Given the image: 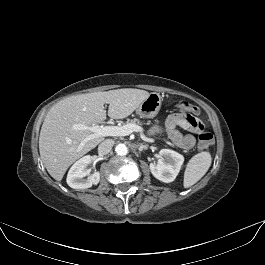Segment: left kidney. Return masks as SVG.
<instances>
[{"label":"left kidney","instance_id":"5707ae66","mask_svg":"<svg viewBox=\"0 0 265 265\" xmlns=\"http://www.w3.org/2000/svg\"><path fill=\"white\" fill-rule=\"evenodd\" d=\"M184 157L176 151L170 149H161L157 164L150 163L152 175L165 183L175 180L183 165Z\"/></svg>","mask_w":265,"mask_h":265}]
</instances>
